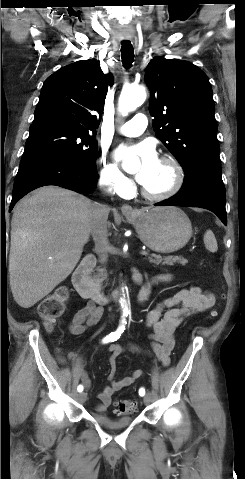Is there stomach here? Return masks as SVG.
Wrapping results in <instances>:
<instances>
[{"label":"stomach","mask_w":245,"mask_h":479,"mask_svg":"<svg viewBox=\"0 0 245 479\" xmlns=\"http://www.w3.org/2000/svg\"><path fill=\"white\" fill-rule=\"evenodd\" d=\"M127 219L141 241L151 250L172 253L184 247L192 236L188 216L176 207H146Z\"/></svg>","instance_id":"0dacf381"}]
</instances>
